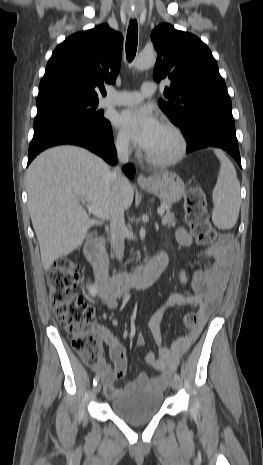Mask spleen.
<instances>
[{"label": "spleen", "instance_id": "spleen-1", "mask_svg": "<svg viewBox=\"0 0 263 465\" xmlns=\"http://www.w3.org/2000/svg\"><path fill=\"white\" fill-rule=\"evenodd\" d=\"M221 166L213 190L212 221L219 229H230L236 222L240 209V183L230 160L220 150H215Z\"/></svg>", "mask_w": 263, "mask_h": 465}]
</instances>
